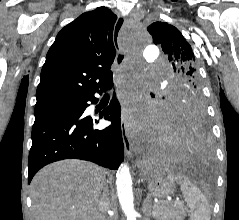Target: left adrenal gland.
<instances>
[{
  "label": "left adrenal gland",
  "instance_id": "a2214340",
  "mask_svg": "<svg viewBox=\"0 0 239 220\" xmlns=\"http://www.w3.org/2000/svg\"><path fill=\"white\" fill-rule=\"evenodd\" d=\"M152 208H153V205L151 203V197H150V195H148L142 204L143 214L147 217L152 216Z\"/></svg>",
  "mask_w": 239,
  "mask_h": 220
}]
</instances>
